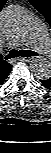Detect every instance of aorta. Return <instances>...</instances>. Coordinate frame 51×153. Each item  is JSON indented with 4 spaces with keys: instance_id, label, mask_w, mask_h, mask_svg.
Returning <instances> with one entry per match:
<instances>
[{
    "instance_id": "obj_1",
    "label": "aorta",
    "mask_w": 51,
    "mask_h": 153,
    "mask_svg": "<svg viewBox=\"0 0 51 153\" xmlns=\"http://www.w3.org/2000/svg\"><path fill=\"white\" fill-rule=\"evenodd\" d=\"M29 13L20 6H11L2 11L1 25L8 36H19L27 32L31 25ZM30 69L41 80L51 77V62L45 57H36L31 61Z\"/></svg>"
}]
</instances>
